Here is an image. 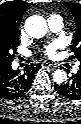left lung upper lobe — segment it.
Masks as SVG:
<instances>
[{"instance_id": "5c2ea615", "label": "left lung upper lobe", "mask_w": 81, "mask_h": 124, "mask_svg": "<svg viewBox=\"0 0 81 124\" xmlns=\"http://www.w3.org/2000/svg\"><path fill=\"white\" fill-rule=\"evenodd\" d=\"M64 5L71 11L76 21V35L71 50L75 55L73 58L81 62V4L64 2Z\"/></svg>"}]
</instances>
